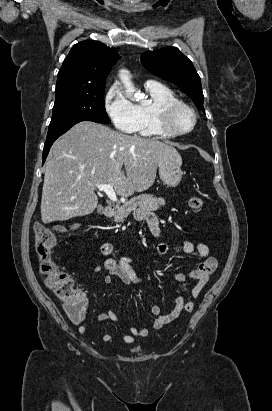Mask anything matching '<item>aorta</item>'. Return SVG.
Returning a JSON list of instances; mask_svg holds the SVG:
<instances>
[{
    "label": "aorta",
    "mask_w": 272,
    "mask_h": 411,
    "mask_svg": "<svg viewBox=\"0 0 272 411\" xmlns=\"http://www.w3.org/2000/svg\"><path fill=\"white\" fill-rule=\"evenodd\" d=\"M119 77L126 88V93L128 96L132 97L133 100L141 99V94L136 92L135 87L131 81L130 73L122 69L119 72Z\"/></svg>",
    "instance_id": "aorta-1"
}]
</instances>
